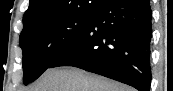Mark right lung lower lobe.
Instances as JSON below:
<instances>
[{
    "label": "right lung lower lobe",
    "mask_w": 173,
    "mask_h": 91,
    "mask_svg": "<svg viewBox=\"0 0 173 91\" xmlns=\"http://www.w3.org/2000/svg\"><path fill=\"white\" fill-rule=\"evenodd\" d=\"M151 20L149 0H102L85 32L49 68L74 66L146 91Z\"/></svg>",
    "instance_id": "right-lung-lower-lobe-1"
}]
</instances>
